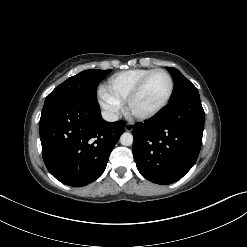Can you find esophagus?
<instances>
[{
    "label": "esophagus",
    "mask_w": 247,
    "mask_h": 247,
    "mask_svg": "<svg viewBox=\"0 0 247 247\" xmlns=\"http://www.w3.org/2000/svg\"><path fill=\"white\" fill-rule=\"evenodd\" d=\"M133 128H134L133 123H129V122H128V123L125 125V130L128 131V132H131V131L133 130Z\"/></svg>",
    "instance_id": "esophagus-1"
}]
</instances>
